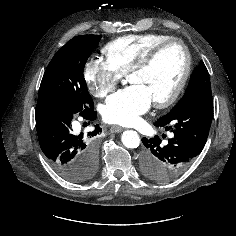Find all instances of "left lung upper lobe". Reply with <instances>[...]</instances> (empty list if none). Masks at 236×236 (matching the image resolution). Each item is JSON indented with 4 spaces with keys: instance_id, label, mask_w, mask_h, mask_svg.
Here are the masks:
<instances>
[{
    "instance_id": "5c2ea615",
    "label": "left lung upper lobe",
    "mask_w": 236,
    "mask_h": 236,
    "mask_svg": "<svg viewBox=\"0 0 236 236\" xmlns=\"http://www.w3.org/2000/svg\"><path fill=\"white\" fill-rule=\"evenodd\" d=\"M211 91V84L208 71L201 61L200 64L194 69L187 90L181 100L174 106V108L165 116L167 118L180 111L190 101L198 97L200 94Z\"/></svg>"
}]
</instances>
